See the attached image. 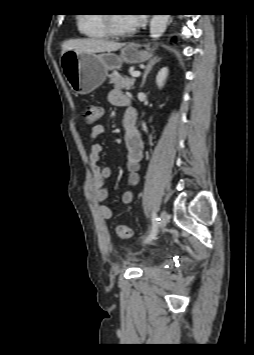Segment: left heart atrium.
I'll list each match as a JSON object with an SVG mask.
<instances>
[{
    "instance_id": "left-heart-atrium-1",
    "label": "left heart atrium",
    "mask_w": 254,
    "mask_h": 355,
    "mask_svg": "<svg viewBox=\"0 0 254 355\" xmlns=\"http://www.w3.org/2000/svg\"><path fill=\"white\" fill-rule=\"evenodd\" d=\"M133 27H139L146 21L147 15L145 13H131L127 15Z\"/></svg>"
}]
</instances>
